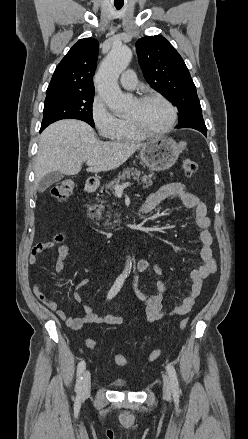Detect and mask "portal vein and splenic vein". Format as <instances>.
<instances>
[{
	"label": "portal vein and splenic vein",
	"mask_w": 248,
	"mask_h": 439,
	"mask_svg": "<svg viewBox=\"0 0 248 439\" xmlns=\"http://www.w3.org/2000/svg\"><path fill=\"white\" fill-rule=\"evenodd\" d=\"M96 163V161L95 160H88L87 161V165L88 166H92V165H94ZM128 186H130V183H124V184H121V185H117V186H115V188H114V190H115V193L116 194H122L123 193V190L126 188V187H128Z\"/></svg>",
	"instance_id": "portal-vein-and-splenic-vein-1"
}]
</instances>
